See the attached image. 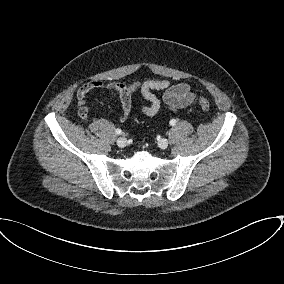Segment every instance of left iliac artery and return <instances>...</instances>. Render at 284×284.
Wrapping results in <instances>:
<instances>
[{
	"instance_id": "obj_1",
	"label": "left iliac artery",
	"mask_w": 284,
	"mask_h": 284,
	"mask_svg": "<svg viewBox=\"0 0 284 284\" xmlns=\"http://www.w3.org/2000/svg\"><path fill=\"white\" fill-rule=\"evenodd\" d=\"M176 123H177V121H176L175 119L170 120V125H171V126L176 125Z\"/></svg>"
}]
</instances>
